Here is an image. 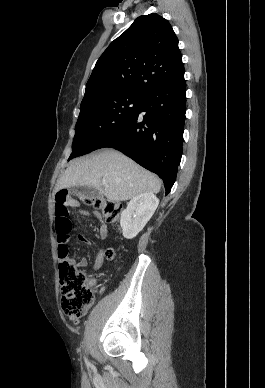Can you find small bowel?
<instances>
[{
	"label": "small bowel",
	"instance_id": "c3829d8e",
	"mask_svg": "<svg viewBox=\"0 0 265 388\" xmlns=\"http://www.w3.org/2000/svg\"><path fill=\"white\" fill-rule=\"evenodd\" d=\"M70 205L73 206V207H76V208H80L81 207V204L79 201L77 200H70ZM82 215H86V216H91V217H94V218H97V219H100V216L98 213L94 212L93 214H90V213H87V212H80ZM99 237L101 239H106L108 237V228L105 224H101L100 228H99ZM79 241L82 242L83 244H86V245H91V240L89 238H87L86 236L84 235H80L79 236ZM70 262L72 264H74L75 266H78V267H85L87 265V259L86 258H81L80 260H75V259H70ZM104 262V253L102 250H100L96 257H95V260L93 262V266H92V269L93 271H97L101 268L102 264ZM89 284L91 286H95L96 285V279L95 278H91L89 279ZM104 290V288H101L100 289V293H102Z\"/></svg>",
	"mask_w": 265,
	"mask_h": 388
}]
</instances>
